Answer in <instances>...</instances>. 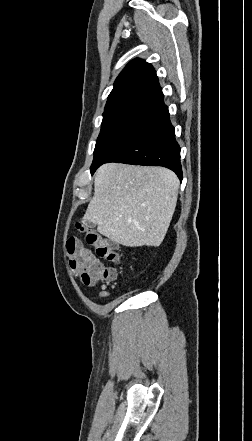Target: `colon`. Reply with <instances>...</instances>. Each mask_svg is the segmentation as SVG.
Wrapping results in <instances>:
<instances>
[{"instance_id":"obj_1","label":"colon","mask_w":252,"mask_h":441,"mask_svg":"<svg viewBox=\"0 0 252 441\" xmlns=\"http://www.w3.org/2000/svg\"><path fill=\"white\" fill-rule=\"evenodd\" d=\"M86 242L94 249L97 256L112 262L118 261L116 246L106 237L93 230H86ZM66 250L72 271L79 276L85 285H96L100 281L112 282L116 279V268L100 264L91 251L79 241L69 240L66 244Z\"/></svg>"}]
</instances>
